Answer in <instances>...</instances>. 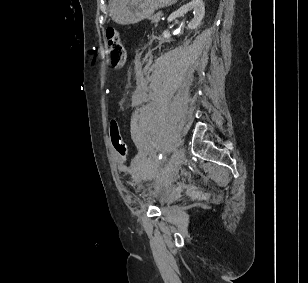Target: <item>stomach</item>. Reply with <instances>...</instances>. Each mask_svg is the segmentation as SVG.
<instances>
[{
  "label": "stomach",
  "mask_w": 308,
  "mask_h": 283,
  "mask_svg": "<svg viewBox=\"0 0 308 283\" xmlns=\"http://www.w3.org/2000/svg\"><path fill=\"white\" fill-rule=\"evenodd\" d=\"M175 2L177 0H111L109 13L114 22L129 25L149 18L156 9Z\"/></svg>",
  "instance_id": "0dacf381"
}]
</instances>
